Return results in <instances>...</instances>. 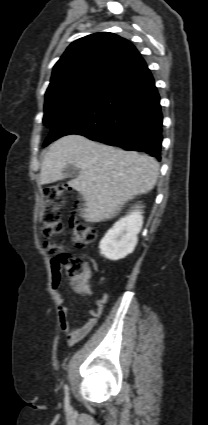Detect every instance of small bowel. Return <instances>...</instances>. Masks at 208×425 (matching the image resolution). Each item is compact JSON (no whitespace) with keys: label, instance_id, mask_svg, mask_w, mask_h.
Listing matches in <instances>:
<instances>
[{"label":"small bowel","instance_id":"c3829d8e","mask_svg":"<svg viewBox=\"0 0 208 425\" xmlns=\"http://www.w3.org/2000/svg\"><path fill=\"white\" fill-rule=\"evenodd\" d=\"M90 278V273L86 274V278L81 285L82 291L89 295H93V291L87 280ZM60 274L53 270L52 272V291L57 304V314L60 330L65 334L67 342L74 345L81 339L85 338L96 326L98 319L103 313L104 305L108 301V294L103 293L96 301V308L90 311L89 318L80 325L73 326L69 322L68 308L64 303V299L59 290Z\"/></svg>","mask_w":208,"mask_h":425}]
</instances>
